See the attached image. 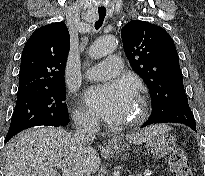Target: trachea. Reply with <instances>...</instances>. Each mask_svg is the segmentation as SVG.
Segmentation results:
<instances>
[{
	"label": "trachea",
	"mask_w": 205,
	"mask_h": 176,
	"mask_svg": "<svg viewBox=\"0 0 205 176\" xmlns=\"http://www.w3.org/2000/svg\"><path fill=\"white\" fill-rule=\"evenodd\" d=\"M105 16H106V9H99L98 10V19L95 22V29L98 30L102 26L103 21L105 19Z\"/></svg>",
	"instance_id": "1"
}]
</instances>
